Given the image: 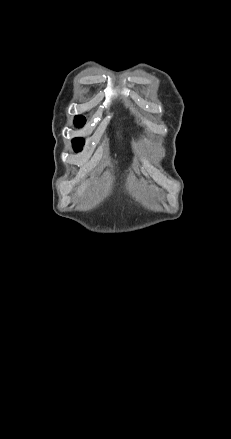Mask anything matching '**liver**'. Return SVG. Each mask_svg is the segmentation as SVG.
<instances>
[{
	"label": "liver",
	"mask_w": 231,
	"mask_h": 439,
	"mask_svg": "<svg viewBox=\"0 0 231 439\" xmlns=\"http://www.w3.org/2000/svg\"><path fill=\"white\" fill-rule=\"evenodd\" d=\"M87 188V183H82L79 187L78 190L76 192V195L81 196L83 195L85 189Z\"/></svg>",
	"instance_id": "obj_1"
}]
</instances>
